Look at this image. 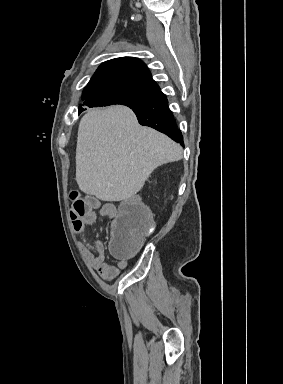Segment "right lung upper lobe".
<instances>
[{
    "mask_svg": "<svg viewBox=\"0 0 283 384\" xmlns=\"http://www.w3.org/2000/svg\"><path fill=\"white\" fill-rule=\"evenodd\" d=\"M98 85H122L147 91H160L147 66L133 57H121L102 63L87 87Z\"/></svg>",
    "mask_w": 283,
    "mask_h": 384,
    "instance_id": "right-lung-upper-lobe-1",
    "label": "right lung upper lobe"
}]
</instances>
